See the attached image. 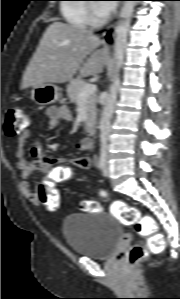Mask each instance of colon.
<instances>
[{
    "label": "colon",
    "mask_w": 180,
    "mask_h": 299,
    "mask_svg": "<svg viewBox=\"0 0 180 299\" xmlns=\"http://www.w3.org/2000/svg\"><path fill=\"white\" fill-rule=\"evenodd\" d=\"M30 123L28 112L22 107L9 109L4 124V131L9 136H15L26 129ZM102 195H106L102 193ZM39 202L50 211L57 209L60 202L58 188L53 183H44L38 189ZM80 209L87 213L101 211V206L96 201H83ZM112 213L127 226H133L136 233L146 238L145 244H134L129 252L130 264H135L146 258L150 253H160L165 248L163 235L158 231V225L151 216H142L139 209L128 205L123 200H115L111 205Z\"/></svg>",
    "instance_id": "1"
}]
</instances>
